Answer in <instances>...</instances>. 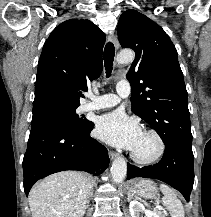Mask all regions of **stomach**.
Returning <instances> with one entry per match:
<instances>
[{
	"label": "stomach",
	"instance_id": "stomach-1",
	"mask_svg": "<svg viewBox=\"0 0 211 217\" xmlns=\"http://www.w3.org/2000/svg\"><path fill=\"white\" fill-rule=\"evenodd\" d=\"M130 190L143 198H155L158 194L156 184L150 179H140L133 182Z\"/></svg>",
	"mask_w": 211,
	"mask_h": 217
}]
</instances>
